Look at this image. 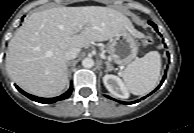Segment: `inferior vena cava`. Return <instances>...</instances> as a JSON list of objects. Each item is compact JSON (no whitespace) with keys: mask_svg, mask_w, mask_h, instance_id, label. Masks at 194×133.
Here are the masks:
<instances>
[{"mask_svg":"<svg viewBox=\"0 0 194 133\" xmlns=\"http://www.w3.org/2000/svg\"><path fill=\"white\" fill-rule=\"evenodd\" d=\"M79 52H80L79 48H77V47H70L65 52V59L66 60L75 59L78 56Z\"/></svg>","mask_w":194,"mask_h":133,"instance_id":"inferior-vena-cava-1","label":"inferior vena cava"}]
</instances>
